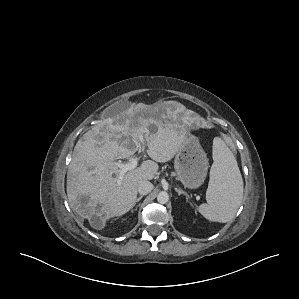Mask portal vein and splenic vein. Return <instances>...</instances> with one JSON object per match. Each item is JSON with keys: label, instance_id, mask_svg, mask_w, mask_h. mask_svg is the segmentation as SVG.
Instances as JSON below:
<instances>
[{"label": "portal vein and splenic vein", "instance_id": "18ae733b", "mask_svg": "<svg viewBox=\"0 0 299 299\" xmlns=\"http://www.w3.org/2000/svg\"><path fill=\"white\" fill-rule=\"evenodd\" d=\"M140 142L142 144V148L145 147V140L143 137L140 138ZM138 160L139 158H132L128 163H120V162H115V165L119 168L117 177H116V182L118 185L121 184V181L123 179V176L130 170H133L137 167L138 165Z\"/></svg>", "mask_w": 299, "mask_h": 299}]
</instances>
